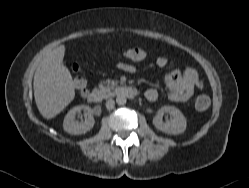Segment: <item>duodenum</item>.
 <instances>
[{"instance_id": "410a0bca", "label": "duodenum", "mask_w": 249, "mask_h": 188, "mask_svg": "<svg viewBox=\"0 0 249 188\" xmlns=\"http://www.w3.org/2000/svg\"><path fill=\"white\" fill-rule=\"evenodd\" d=\"M117 93L119 96H125L128 98H134L136 96V90L129 86H120ZM85 98L90 103H100L104 98V93L100 90L89 91L86 92Z\"/></svg>"}]
</instances>
